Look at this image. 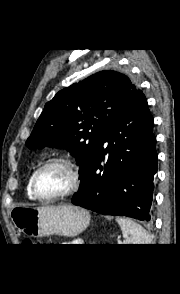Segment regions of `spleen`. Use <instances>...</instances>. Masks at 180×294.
<instances>
[{
	"label": "spleen",
	"instance_id": "1",
	"mask_svg": "<svg viewBox=\"0 0 180 294\" xmlns=\"http://www.w3.org/2000/svg\"><path fill=\"white\" fill-rule=\"evenodd\" d=\"M125 240L123 244H150L151 238L148 232L135 221L128 218L116 217Z\"/></svg>",
	"mask_w": 180,
	"mask_h": 294
}]
</instances>
